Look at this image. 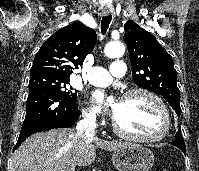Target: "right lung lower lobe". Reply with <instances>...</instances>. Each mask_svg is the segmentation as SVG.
<instances>
[{
    "label": "right lung lower lobe",
    "mask_w": 199,
    "mask_h": 171,
    "mask_svg": "<svg viewBox=\"0 0 199 171\" xmlns=\"http://www.w3.org/2000/svg\"><path fill=\"white\" fill-rule=\"evenodd\" d=\"M79 118L76 104L50 89L29 91L26 116L14 150L30 135L53 128H67Z\"/></svg>",
    "instance_id": "obj_1"
}]
</instances>
